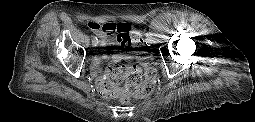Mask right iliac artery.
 <instances>
[{"label":"right iliac artery","instance_id":"obj_1","mask_svg":"<svg viewBox=\"0 0 255 122\" xmlns=\"http://www.w3.org/2000/svg\"><path fill=\"white\" fill-rule=\"evenodd\" d=\"M92 42H98V39H97V37H96V36H93V38H92Z\"/></svg>","mask_w":255,"mask_h":122}]
</instances>
